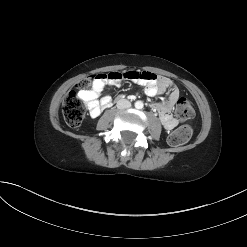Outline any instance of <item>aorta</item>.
I'll list each match as a JSON object with an SVG mask.
<instances>
[{
	"label": "aorta",
	"mask_w": 247,
	"mask_h": 247,
	"mask_svg": "<svg viewBox=\"0 0 247 247\" xmlns=\"http://www.w3.org/2000/svg\"><path fill=\"white\" fill-rule=\"evenodd\" d=\"M144 106L143 102L142 101H136L135 102V108L137 109H142Z\"/></svg>",
	"instance_id": "762f6f07"
}]
</instances>
